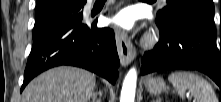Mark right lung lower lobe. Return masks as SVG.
<instances>
[{
	"label": "right lung lower lobe",
	"instance_id": "right-lung-lower-lobe-1",
	"mask_svg": "<svg viewBox=\"0 0 221 102\" xmlns=\"http://www.w3.org/2000/svg\"><path fill=\"white\" fill-rule=\"evenodd\" d=\"M82 18L62 21L33 38L21 91L39 73L59 65L82 67L115 83L120 62L114 31Z\"/></svg>",
	"mask_w": 221,
	"mask_h": 102
}]
</instances>
